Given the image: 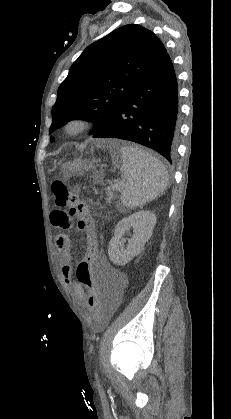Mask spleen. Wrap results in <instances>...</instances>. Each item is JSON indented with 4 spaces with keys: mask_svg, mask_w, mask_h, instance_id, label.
<instances>
[{
    "mask_svg": "<svg viewBox=\"0 0 231 419\" xmlns=\"http://www.w3.org/2000/svg\"><path fill=\"white\" fill-rule=\"evenodd\" d=\"M121 202L130 209L142 207L167 189L169 176L162 163L149 152L135 146L121 148Z\"/></svg>",
    "mask_w": 231,
    "mask_h": 419,
    "instance_id": "spleen-1",
    "label": "spleen"
}]
</instances>
